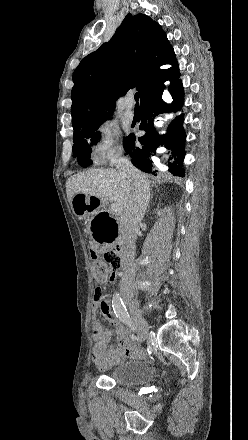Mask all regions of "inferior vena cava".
<instances>
[{
    "label": "inferior vena cava",
    "mask_w": 248,
    "mask_h": 440,
    "mask_svg": "<svg viewBox=\"0 0 248 440\" xmlns=\"http://www.w3.org/2000/svg\"><path fill=\"white\" fill-rule=\"evenodd\" d=\"M116 167L120 174L127 176L134 184L133 198L120 218V228L124 239V249L121 255L122 283H124L132 273L130 266L135 255L137 232L149 203L150 191L143 174L132 165L128 158L121 156Z\"/></svg>",
    "instance_id": "1"
}]
</instances>
